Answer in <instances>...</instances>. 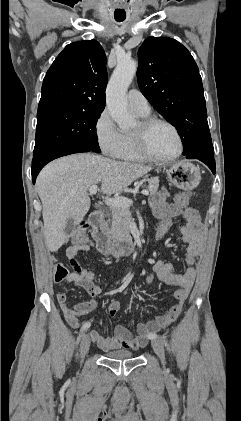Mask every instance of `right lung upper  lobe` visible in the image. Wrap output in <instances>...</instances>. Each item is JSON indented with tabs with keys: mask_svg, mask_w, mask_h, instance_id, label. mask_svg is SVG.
Masks as SVG:
<instances>
[{
	"mask_svg": "<svg viewBox=\"0 0 241 421\" xmlns=\"http://www.w3.org/2000/svg\"><path fill=\"white\" fill-rule=\"evenodd\" d=\"M107 58L96 40L71 43L46 73L38 110L68 108L103 111Z\"/></svg>",
	"mask_w": 241,
	"mask_h": 421,
	"instance_id": "obj_1",
	"label": "right lung upper lobe"
}]
</instances>
